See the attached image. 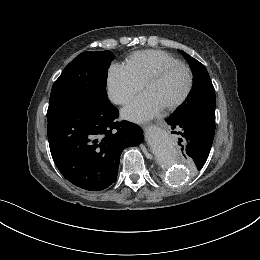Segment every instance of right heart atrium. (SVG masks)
<instances>
[{
  "instance_id": "d8ad5b80",
  "label": "right heart atrium",
  "mask_w": 260,
  "mask_h": 260,
  "mask_svg": "<svg viewBox=\"0 0 260 260\" xmlns=\"http://www.w3.org/2000/svg\"><path fill=\"white\" fill-rule=\"evenodd\" d=\"M139 83L125 65L113 64L108 71L107 91L110 100L117 105L127 104L140 90Z\"/></svg>"
}]
</instances>
